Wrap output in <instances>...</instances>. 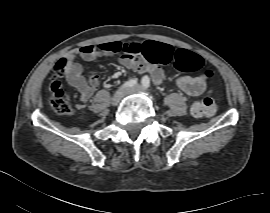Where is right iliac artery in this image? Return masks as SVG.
I'll use <instances>...</instances> for the list:
<instances>
[{"instance_id": "82829eb1", "label": "right iliac artery", "mask_w": 270, "mask_h": 213, "mask_svg": "<svg viewBox=\"0 0 270 213\" xmlns=\"http://www.w3.org/2000/svg\"><path fill=\"white\" fill-rule=\"evenodd\" d=\"M137 84V79L134 78V79H130L128 81H126L123 85H122V88H127V87H133Z\"/></svg>"}]
</instances>
